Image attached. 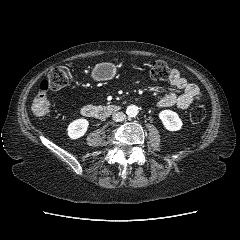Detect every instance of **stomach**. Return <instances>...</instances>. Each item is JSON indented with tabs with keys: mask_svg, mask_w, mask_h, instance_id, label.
I'll return each instance as SVG.
<instances>
[{
	"mask_svg": "<svg viewBox=\"0 0 240 240\" xmlns=\"http://www.w3.org/2000/svg\"><path fill=\"white\" fill-rule=\"evenodd\" d=\"M115 75V66L111 63H101L96 65L92 76L96 80H110Z\"/></svg>",
	"mask_w": 240,
	"mask_h": 240,
	"instance_id": "stomach-1",
	"label": "stomach"
}]
</instances>
